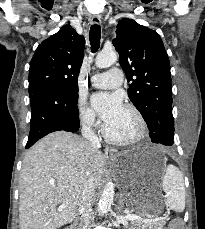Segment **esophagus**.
<instances>
[{
	"label": "esophagus",
	"mask_w": 205,
	"mask_h": 229,
	"mask_svg": "<svg viewBox=\"0 0 205 229\" xmlns=\"http://www.w3.org/2000/svg\"><path fill=\"white\" fill-rule=\"evenodd\" d=\"M91 24L94 25V24H97V25H100L101 24V19L100 17L98 16H93L91 18ZM115 153H116V150L112 147H109V146H106L105 147V157L107 159H112L114 158L115 156Z\"/></svg>",
	"instance_id": "1"
}]
</instances>
